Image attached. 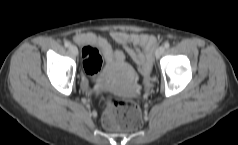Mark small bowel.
Instances as JSON below:
<instances>
[{"label": "small bowel", "instance_id": "1", "mask_svg": "<svg viewBox=\"0 0 238 145\" xmlns=\"http://www.w3.org/2000/svg\"><path fill=\"white\" fill-rule=\"evenodd\" d=\"M110 37L124 47L127 55L138 66L144 84H148L152 70V55L157 44L156 38L146 33H129L122 30L111 31ZM74 40L80 45L96 47L109 63H121L125 60L124 53L113 50L103 36L79 32L75 34Z\"/></svg>", "mask_w": 238, "mask_h": 145}]
</instances>
